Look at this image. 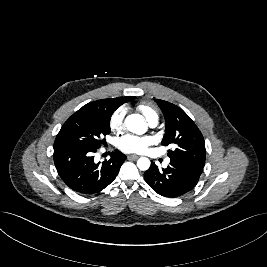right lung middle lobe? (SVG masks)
Wrapping results in <instances>:
<instances>
[{
	"label": "right lung middle lobe",
	"instance_id": "obj_1",
	"mask_svg": "<svg viewBox=\"0 0 267 267\" xmlns=\"http://www.w3.org/2000/svg\"><path fill=\"white\" fill-rule=\"evenodd\" d=\"M113 111L94 110L74 113L61 127L54 142L58 148H100L104 140L101 138L111 132L110 118Z\"/></svg>",
	"mask_w": 267,
	"mask_h": 267
}]
</instances>
